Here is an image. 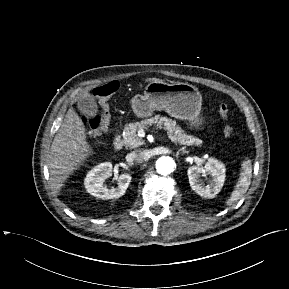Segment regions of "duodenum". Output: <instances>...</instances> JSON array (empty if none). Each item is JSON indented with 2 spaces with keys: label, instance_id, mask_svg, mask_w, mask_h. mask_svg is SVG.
Segmentation results:
<instances>
[{
  "label": "duodenum",
  "instance_id": "1",
  "mask_svg": "<svg viewBox=\"0 0 289 289\" xmlns=\"http://www.w3.org/2000/svg\"><path fill=\"white\" fill-rule=\"evenodd\" d=\"M123 139H122V137L119 135V134H117L116 136H115V138H114V142H113V148H114V150L115 151H119V150H121L122 148H123Z\"/></svg>",
  "mask_w": 289,
  "mask_h": 289
}]
</instances>
